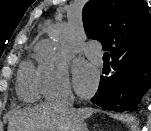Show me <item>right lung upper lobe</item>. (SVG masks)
<instances>
[{
	"label": "right lung upper lobe",
	"mask_w": 151,
	"mask_h": 131,
	"mask_svg": "<svg viewBox=\"0 0 151 131\" xmlns=\"http://www.w3.org/2000/svg\"><path fill=\"white\" fill-rule=\"evenodd\" d=\"M82 17L87 36L108 48L111 63L151 60V15L144 0H90Z\"/></svg>",
	"instance_id": "cb5924a9"
}]
</instances>
